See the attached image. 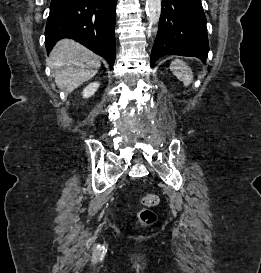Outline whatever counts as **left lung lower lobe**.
<instances>
[{
  "label": "left lung lower lobe",
  "instance_id": "obj_1",
  "mask_svg": "<svg viewBox=\"0 0 261 273\" xmlns=\"http://www.w3.org/2000/svg\"><path fill=\"white\" fill-rule=\"evenodd\" d=\"M209 51L201 0H162L158 33L150 64L164 55L194 56L206 61Z\"/></svg>",
  "mask_w": 261,
  "mask_h": 273
}]
</instances>
